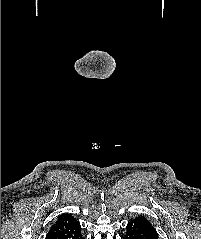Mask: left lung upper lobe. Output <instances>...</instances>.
<instances>
[{
    "mask_svg": "<svg viewBox=\"0 0 201 239\" xmlns=\"http://www.w3.org/2000/svg\"><path fill=\"white\" fill-rule=\"evenodd\" d=\"M135 220H139V221H142V222H144V223H147L155 232H156V230L154 229V227L151 225V223L146 219V218H144V217H137V218H135ZM157 233V232H156Z\"/></svg>",
    "mask_w": 201,
    "mask_h": 239,
    "instance_id": "obj_1",
    "label": "left lung upper lobe"
}]
</instances>
